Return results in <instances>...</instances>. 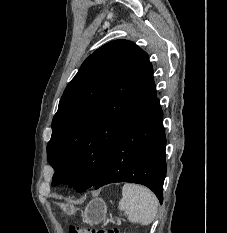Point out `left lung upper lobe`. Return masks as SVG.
<instances>
[{"mask_svg": "<svg viewBox=\"0 0 227 233\" xmlns=\"http://www.w3.org/2000/svg\"><path fill=\"white\" fill-rule=\"evenodd\" d=\"M156 99L153 67L133 42H109L82 64L52 120L47 158L52 185L95 186L127 127Z\"/></svg>", "mask_w": 227, "mask_h": 233, "instance_id": "left-lung-upper-lobe-1", "label": "left lung upper lobe"}]
</instances>
